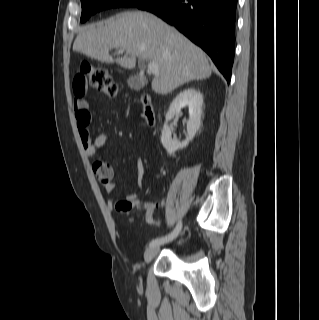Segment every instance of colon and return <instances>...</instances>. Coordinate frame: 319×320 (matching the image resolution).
Returning <instances> with one entry per match:
<instances>
[{"instance_id":"5ec220e1","label":"colon","mask_w":319,"mask_h":320,"mask_svg":"<svg viewBox=\"0 0 319 320\" xmlns=\"http://www.w3.org/2000/svg\"><path fill=\"white\" fill-rule=\"evenodd\" d=\"M86 83H89L93 89L102 92L110 98H115L118 94V87L110 71L89 62H83L81 64L79 74L74 78V87L81 88L84 87ZM100 169L110 171L111 167L107 162H96L94 164V171L97 172ZM133 205L134 202L131 200L122 199L116 203V209L121 213H129ZM146 219L149 222L158 223V221L153 218L152 213H146Z\"/></svg>"}]
</instances>
